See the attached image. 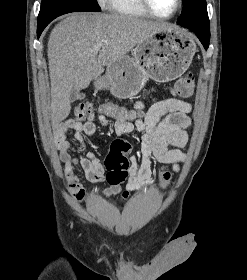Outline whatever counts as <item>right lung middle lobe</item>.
<instances>
[{"mask_svg": "<svg viewBox=\"0 0 247 280\" xmlns=\"http://www.w3.org/2000/svg\"><path fill=\"white\" fill-rule=\"evenodd\" d=\"M78 11H101L96 0H42L37 26L48 25L56 17Z\"/></svg>", "mask_w": 247, "mask_h": 280, "instance_id": "dd1d6c3e", "label": "right lung middle lobe"}]
</instances>
